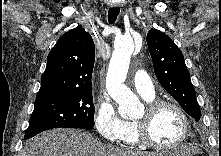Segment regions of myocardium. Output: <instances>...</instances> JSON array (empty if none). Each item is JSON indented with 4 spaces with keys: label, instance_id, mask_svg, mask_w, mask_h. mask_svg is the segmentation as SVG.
I'll return each instance as SVG.
<instances>
[{
    "label": "myocardium",
    "instance_id": "1",
    "mask_svg": "<svg viewBox=\"0 0 221 156\" xmlns=\"http://www.w3.org/2000/svg\"><path fill=\"white\" fill-rule=\"evenodd\" d=\"M165 107L173 108L178 112L184 124V131L181 138L173 145H162L155 142L149 133V126L155 115ZM135 136L137 142L158 150H173L183 145L191 133V122L186 111L176 102L171 100H154L146 107V116L142 120L134 121Z\"/></svg>",
    "mask_w": 221,
    "mask_h": 156
}]
</instances>
